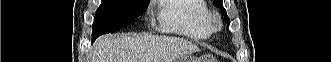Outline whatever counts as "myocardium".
I'll list each match as a JSON object with an SVG mask.
<instances>
[{"label": "myocardium", "instance_id": "obj_1", "mask_svg": "<svg viewBox=\"0 0 331 62\" xmlns=\"http://www.w3.org/2000/svg\"><path fill=\"white\" fill-rule=\"evenodd\" d=\"M209 22L212 29L217 30L221 27V20L218 14L212 13L209 15Z\"/></svg>", "mask_w": 331, "mask_h": 62}]
</instances>
